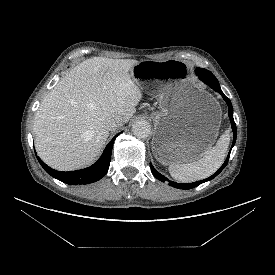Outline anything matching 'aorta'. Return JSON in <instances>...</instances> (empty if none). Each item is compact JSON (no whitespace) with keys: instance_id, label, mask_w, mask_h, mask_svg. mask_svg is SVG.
<instances>
[{"instance_id":"aorta-1","label":"aorta","mask_w":275,"mask_h":275,"mask_svg":"<svg viewBox=\"0 0 275 275\" xmlns=\"http://www.w3.org/2000/svg\"><path fill=\"white\" fill-rule=\"evenodd\" d=\"M132 132L138 138H147L151 132V125L146 120H137L132 126Z\"/></svg>"}]
</instances>
